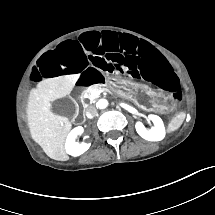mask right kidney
<instances>
[{
  "instance_id": "1",
  "label": "right kidney",
  "mask_w": 215,
  "mask_h": 215,
  "mask_svg": "<svg viewBox=\"0 0 215 215\" xmlns=\"http://www.w3.org/2000/svg\"><path fill=\"white\" fill-rule=\"evenodd\" d=\"M76 128L78 129L76 131H73ZM76 128L69 133L65 143L66 153L70 154L71 156H79L83 154L85 151H87L88 148L90 147V143L82 142L81 144H79L78 142H75V139L77 138V136L79 134H82L84 131L82 126H78ZM87 138L89 137L85 136L84 139H87Z\"/></svg>"
}]
</instances>
